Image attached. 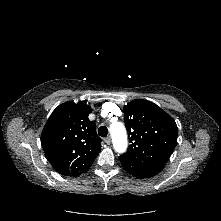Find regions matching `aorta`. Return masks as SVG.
<instances>
[{"label":"aorta","mask_w":221,"mask_h":221,"mask_svg":"<svg viewBox=\"0 0 221 221\" xmlns=\"http://www.w3.org/2000/svg\"><path fill=\"white\" fill-rule=\"evenodd\" d=\"M110 133L115 151L118 153L125 152L127 149L128 141L124 125L121 122L111 123Z\"/></svg>","instance_id":"1"}]
</instances>
